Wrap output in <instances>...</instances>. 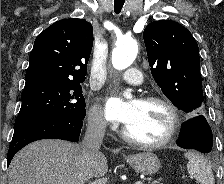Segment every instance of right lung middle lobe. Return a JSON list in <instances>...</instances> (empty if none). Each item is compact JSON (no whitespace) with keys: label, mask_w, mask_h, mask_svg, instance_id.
I'll return each mask as SVG.
<instances>
[{"label":"right lung middle lobe","mask_w":224,"mask_h":184,"mask_svg":"<svg viewBox=\"0 0 224 184\" xmlns=\"http://www.w3.org/2000/svg\"><path fill=\"white\" fill-rule=\"evenodd\" d=\"M80 83L41 80L25 84L15 128L44 117L83 120L86 110Z\"/></svg>","instance_id":"dd1d6c3e"}]
</instances>
